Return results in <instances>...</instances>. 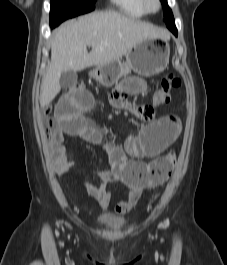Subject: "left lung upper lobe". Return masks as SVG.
<instances>
[{
  "instance_id": "1",
  "label": "left lung upper lobe",
  "mask_w": 227,
  "mask_h": 265,
  "mask_svg": "<svg viewBox=\"0 0 227 265\" xmlns=\"http://www.w3.org/2000/svg\"><path fill=\"white\" fill-rule=\"evenodd\" d=\"M160 1L164 5V17L167 27L169 29L176 28L172 11L167 5V0H160Z\"/></svg>"
}]
</instances>
